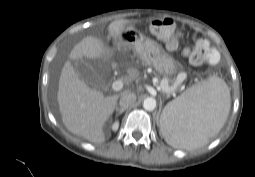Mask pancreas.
I'll list each match as a JSON object with an SVG mask.
<instances>
[{"instance_id":"1","label":"pancreas","mask_w":255,"mask_h":177,"mask_svg":"<svg viewBox=\"0 0 255 177\" xmlns=\"http://www.w3.org/2000/svg\"><path fill=\"white\" fill-rule=\"evenodd\" d=\"M169 83H174V81H172V80H169V79H167V78H164L162 81H161V83H160V85H161V87H163V86H169V87H175V86H173V85H169ZM175 89H176V87H175ZM175 89H174V91H175Z\"/></svg>"}]
</instances>
